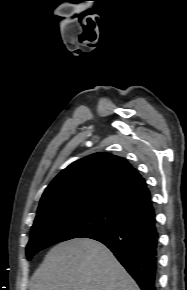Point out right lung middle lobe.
Wrapping results in <instances>:
<instances>
[{
	"label": "right lung middle lobe",
	"mask_w": 187,
	"mask_h": 290,
	"mask_svg": "<svg viewBox=\"0 0 187 290\" xmlns=\"http://www.w3.org/2000/svg\"><path fill=\"white\" fill-rule=\"evenodd\" d=\"M127 219L104 206H82L54 212L35 219L26 248L27 259L53 244L73 238L87 237L114 228Z\"/></svg>",
	"instance_id": "obj_1"
}]
</instances>
